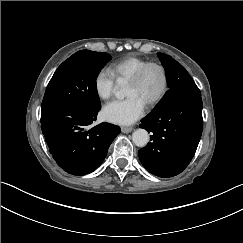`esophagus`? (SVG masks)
<instances>
[{
    "instance_id": "1",
    "label": "esophagus",
    "mask_w": 243,
    "mask_h": 243,
    "mask_svg": "<svg viewBox=\"0 0 243 243\" xmlns=\"http://www.w3.org/2000/svg\"><path fill=\"white\" fill-rule=\"evenodd\" d=\"M121 131L123 133H130L132 131V128L131 127H124V126H122L121 127Z\"/></svg>"
}]
</instances>
